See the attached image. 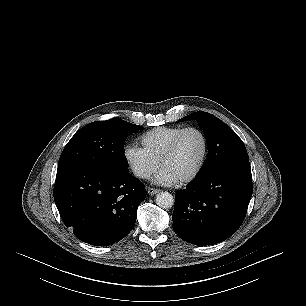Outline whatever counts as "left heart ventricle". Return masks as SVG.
<instances>
[{
    "instance_id": "left-heart-ventricle-1",
    "label": "left heart ventricle",
    "mask_w": 306,
    "mask_h": 306,
    "mask_svg": "<svg viewBox=\"0 0 306 306\" xmlns=\"http://www.w3.org/2000/svg\"><path fill=\"white\" fill-rule=\"evenodd\" d=\"M202 154L201 136L195 131H190L183 136L175 154L164 164L163 168L180 180L196 169Z\"/></svg>"
}]
</instances>
